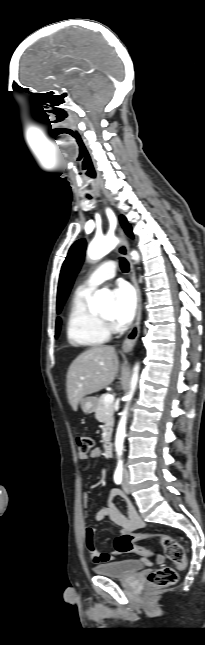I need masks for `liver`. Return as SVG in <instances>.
<instances>
[{
    "label": "liver",
    "mask_w": 205,
    "mask_h": 645,
    "mask_svg": "<svg viewBox=\"0 0 205 645\" xmlns=\"http://www.w3.org/2000/svg\"><path fill=\"white\" fill-rule=\"evenodd\" d=\"M119 360L114 347L99 345L81 353L67 372V396L74 411L81 400L110 385L118 373Z\"/></svg>",
    "instance_id": "1"
}]
</instances>
